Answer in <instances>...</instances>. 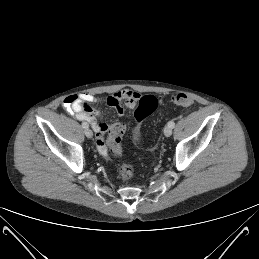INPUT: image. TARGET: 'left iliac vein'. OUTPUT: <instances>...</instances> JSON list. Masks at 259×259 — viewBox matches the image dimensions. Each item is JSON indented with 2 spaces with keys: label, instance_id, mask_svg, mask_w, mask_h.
Wrapping results in <instances>:
<instances>
[{
  "label": "left iliac vein",
  "instance_id": "left-iliac-vein-1",
  "mask_svg": "<svg viewBox=\"0 0 259 259\" xmlns=\"http://www.w3.org/2000/svg\"><path fill=\"white\" fill-rule=\"evenodd\" d=\"M171 134H172V128L170 127V126H165V128H164V135L166 136V137H169V136H171Z\"/></svg>",
  "mask_w": 259,
  "mask_h": 259
}]
</instances>
